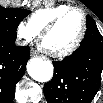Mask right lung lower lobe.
Segmentation results:
<instances>
[{"label":"right lung lower lobe","instance_id":"right-lung-lower-lobe-1","mask_svg":"<svg viewBox=\"0 0 103 103\" xmlns=\"http://www.w3.org/2000/svg\"><path fill=\"white\" fill-rule=\"evenodd\" d=\"M13 38L0 36V102L10 103L16 83L25 73L29 46H16Z\"/></svg>","mask_w":103,"mask_h":103}]
</instances>
